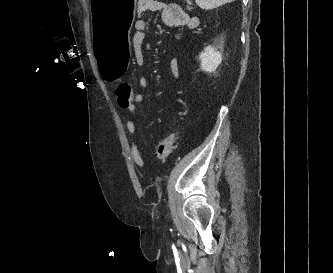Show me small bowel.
Returning a JSON list of instances; mask_svg holds the SVG:
<instances>
[{"label": "small bowel", "instance_id": "obj_1", "mask_svg": "<svg viewBox=\"0 0 333 273\" xmlns=\"http://www.w3.org/2000/svg\"><path fill=\"white\" fill-rule=\"evenodd\" d=\"M160 12L161 20L163 24L169 27H188L194 29L197 26V19L191 17L179 4L165 2L163 0H138L137 13L140 17H144L148 13ZM149 26L146 20L140 18L135 22L134 34L132 37V48L134 52V58L138 66H143L145 63L144 56V43L146 33ZM170 71L176 80L181 79L180 60L178 58H172L170 60ZM149 86V80L146 77L139 79V87L141 89H147ZM134 108L123 109L129 113H133L136 110V104L143 101V95L141 93H132ZM121 107V105H119ZM126 129L130 137L132 138L130 153L133 162L137 168L146 169V162L141 155L140 149L136 144L134 137L136 134V124L132 119L126 120Z\"/></svg>", "mask_w": 333, "mask_h": 273}]
</instances>
